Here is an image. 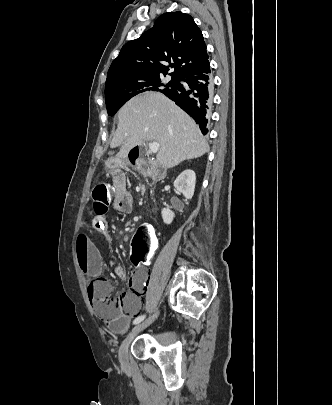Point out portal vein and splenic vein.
Instances as JSON below:
<instances>
[{"instance_id":"18ae733b","label":"portal vein and splenic vein","mask_w":332,"mask_h":405,"mask_svg":"<svg viewBox=\"0 0 332 405\" xmlns=\"http://www.w3.org/2000/svg\"><path fill=\"white\" fill-rule=\"evenodd\" d=\"M148 147H149L150 152L155 154L158 152L160 144L158 142H149Z\"/></svg>"}]
</instances>
